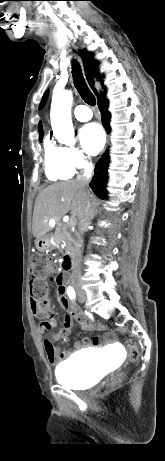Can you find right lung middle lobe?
<instances>
[{
  "instance_id": "dd1d6c3e",
  "label": "right lung middle lobe",
  "mask_w": 165,
  "mask_h": 461,
  "mask_svg": "<svg viewBox=\"0 0 165 461\" xmlns=\"http://www.w3.org/2000/svg\"><path fill=\"white\" fill-rule=\"evenodd\" d=\"M42 137H43V135H40V136H39V138H40V141H41Z\"/></svg>"
}]
</instances>
